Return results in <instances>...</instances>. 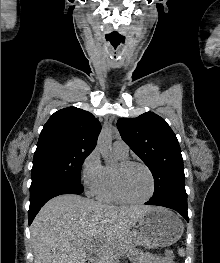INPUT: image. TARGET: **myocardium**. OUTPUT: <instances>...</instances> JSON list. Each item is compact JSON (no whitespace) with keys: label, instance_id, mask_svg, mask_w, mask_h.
Instances as JSON below:
<instances>
[{"label":"myocardium","instance_id":"1","mask_svg":"<svg viewBox=\"0 0 220 263\" xmlns=\"http://www.w3.org/2000/svg\"><path fill=\"white\" fill-rule=\"evenodd\" d=\"M130 166H140L148 173L150 181H151V189L149 194L142 199L139 200H132L127 198L121 188L120 183V173L123 169L130 167ZM112 182H113V190L119 201L131 204V205H138L148 202L154 195L156 189V181L153 172L151 169L143 162L135 161V160H122L120 163L113 169L112 171Z\"/></svg>","mask_w":220,"mask_h":263}]
</instances>
